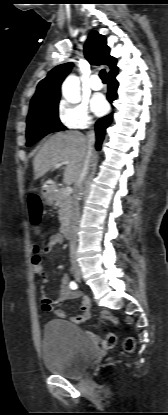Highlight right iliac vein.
Returning a JSON list of instances; mask_svg holds the SVG:
<instances>
[{"mask_svg": "<svg viewBox=\"0 0 168 415\" xmlns=\"http://www.w3.org/2000/svg\"><path fill=\"white\" fill-rule=\"evenodd\" d=\"M75 277H76L77 279H80V278H81V273H80V272H76V273H75Z\"/></svg>", "mask_w": 168, "mask_h": 415, "instance_id": "right-iliac-vein-1", "label": "right iliac vein"}]
</instances>
